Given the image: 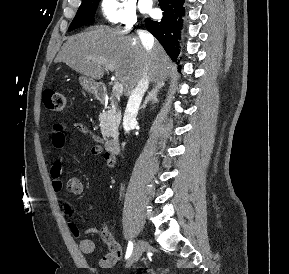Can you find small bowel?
<instances>
[{
  "instance_id": "small-bowel-1",
  "label": "small bowel",
  "mask_w": 289,
  "mask_h": 274,
  "mask_svg": "<svg viewBox=\"0 0 289 274\" xmlns=\"http://www.w3.org/2000/svg\"><path fill=\"white\" fill-rule=\"evenodd\" d=\"M72 127L83 134L90 135L91 138L96 142L101 141L100 137L95 135L91 130H89L85 125L80 122H74L72 124ZM66 131L67 127L64 124L57 123L53 126L51 143L54 149L59 150L65 146L67 139ZM91 154L93 156H101L108 167H113L115 165V157L111 153L104 151L100 145L93 146L91 148ZM62 173L63 157L59 156L54 160L50 168L52 188L55 192H60L64 187ZM65 189L69 194L72 195H81L84 192L83 183L78 178H70L65 184ZM61 208L62 212L64 214H67V210L63 205ZM69 229L71 233L76 237H80L84 234H92L97 232V229L94 227H87L84 230H80L74 223H69ZM101 234L110 251L109 253L105 254L103 257L100 258L98 264L101 268H111L122 257L123 248L118 242L115 241V239L109 232H102ZM79 249L83 254H92L95 251V243L92 239L83 238L79 242Z\"/></svg>"
}]
</instances>
